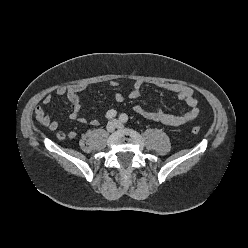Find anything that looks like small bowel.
Segmentation results:
<instances>
[{
	"label": "small bowel",
	"mask_w": 248,
	"mask_h": 248,
	"mask_svg": "<svg viewBox=\"0 0 248 248\" xmlns=\"http://www.w3.org/2000/svg\"><path fill=\"white\" fill-rule=\"evenodd\" d=\"M109 86H117L118 82L115 80H111L108 82ZM143 83L141 81H135L130 92L129 97L131 99H136L141 94ZM157 87L162 89L163 91L173 93L177 95V97L185 102L189 109L181 114V115H172L164 112L160 108H155L153 110H146L140 105H135L133 110L135 113L155 122H160L167 126H181L187 124L194 119H196L199 115V108H198V100L194 96V91L191 87L176 84V83H158ZM90 86L87 83H77L68 86H61L56 89L55 93L57 96H65L72 104L73 110L69 115V118L72 121H76L79 123H86V119L80 114L82 109V95L90 91ZM124 99L123 95L120 93L115 94V100L117 102H122ZM52 101V95L47 94L44 98L42 103L44 105L50 104ZM35 116L37 122L45 127L50 131L57 130L59 123L57 120H54L50 117V115L44 110L41 105L35 107ZM90 124L93 126L98 125V120L92 119ZM77 133L75 131H69L67 133L63 131H58L56 133V137L59 140H64L66 138L74 139L76 138Z\"/></svg>",
	"instance_id": "obj_1"
}]
</instances>
